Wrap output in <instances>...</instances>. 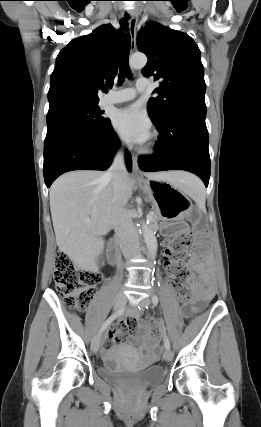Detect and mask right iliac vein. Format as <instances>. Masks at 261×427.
I'll return each mask as SVG.
<instances>
[{"label": "right iliac vein", "mask_w": 261, "mask_h": 427, "mask_svg": "<svg viewBox=\"0 0 261 427\" xmlns=\"http://www.w3.org/2000/svg\"><path fill=\"white\" fill-rule=\"evenodd\" d=\"M126 301H127L126 296L122 292L118 293L115 298L114 309L115 310L121 309L126 304ZM100 340H101V337L99 334H97L96 336H94V338L91 341V349L94 353H97L99 349Z\"/></svg>", "instance_id": "1"}]
</instances>
